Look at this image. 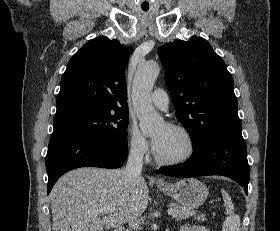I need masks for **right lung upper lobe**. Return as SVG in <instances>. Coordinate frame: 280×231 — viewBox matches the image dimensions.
I'll list each match as a JSON object with an SVG mask.
<instances>
[{
  "label": "right lung upper lobe",
  "mask_w": 280,
  "mask_h": 231,
  "mask_svg": "<svg viewBox=\"0 0 280 231\" xmlns=\"http://www.w3.org/2000/svg\"><path fill=\"white\" fill-rule=\"evenodd\" d=\"M131 51L105 36L77 51L62 76L53 122L128 111L125 71Z\"/></svg>",
  "instance_id": "1"
}]
</instances>
